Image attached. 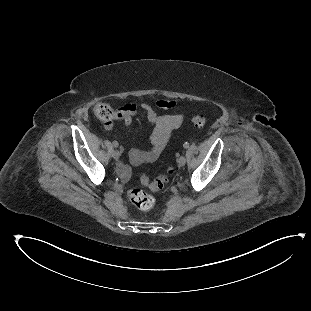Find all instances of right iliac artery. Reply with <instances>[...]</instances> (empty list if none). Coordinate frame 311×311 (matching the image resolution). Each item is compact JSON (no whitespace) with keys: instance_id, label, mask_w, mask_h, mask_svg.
I'll list each match as a JSON object with an SVG mask.
<instances>
[{"instance_id":"obj_1","label":"right iliac artery","mask_w":311,"mask_h":311,"mask_svg":"<svg viewBox=\"0 0 311 311\" xmlns=\"http://www.w3.org/2000/svg\"><path fill=\"white\" fill-rule=\"evenodd\" d=\"M118 145H119V144H118L117 141H113V146H114V147H118Z\"/></svg>"}]
</instances>
